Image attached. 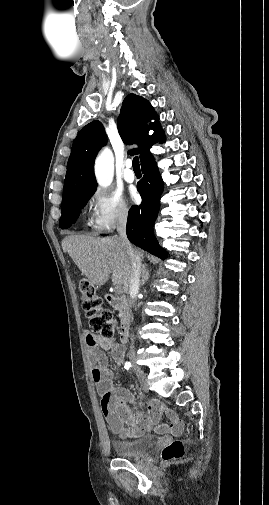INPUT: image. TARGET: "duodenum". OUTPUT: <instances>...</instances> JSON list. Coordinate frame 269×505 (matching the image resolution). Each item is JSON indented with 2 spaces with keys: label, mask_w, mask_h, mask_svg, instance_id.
<instances>
[{
  "label": "duodenum",
  "mask_w": 269,
  "mask_h": 505,
  "mask_svg": "<svg viewBox=\"0 0 269 505\" xmlns=\"http://www.w3.org/2000/svg\"><path fill=\"white\" fill-rule=\"evenodd\" d=\"M105 299L112 308L117 309L121 314L120 341L126 343L130 330L129 303L126 298L112 294H106Z\"/></svg>",
  "instance_id": "410a0bca"
}]
</instances>
